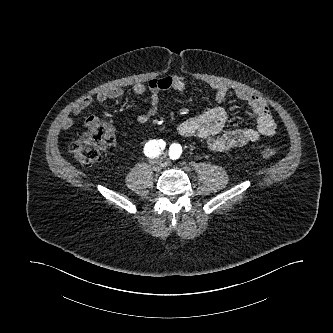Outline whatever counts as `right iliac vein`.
<instances>
[{"label": "right iliac vein", "mask_w": 333, "mask_h": 333, "mask_svg": "<svg viewBox=\"0 0 333 333\" xmlns=\"http://www.w3.org/2000/svg\"><path fill=\"white\" fill-rule=\"evenodd\" d=\"M151 167L155 172H159L163 167V163L161 160L155 159L151 161Z\"/></svg>", "instance_id": "right-iliac-vein-1"}]
</instances>
